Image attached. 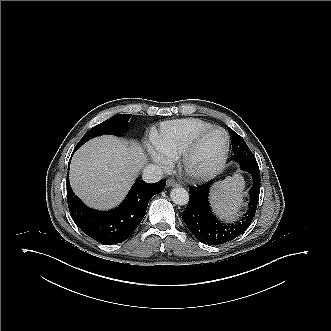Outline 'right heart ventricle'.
Here are the masks:
<instances>
[{
	"mask_svg": "<svg viewBox=\"0 0 331 331\" xmlns=\"http://www.w3.org/2000/svg\"><path fill=\"white\" fill-rule=\"evenodd\" d=\"M210 127V123L195 118L166 121L160 125L155 146L170 158H178L197 134Z\"/></svg>",
	"mask_w": 331,
	"mask_h": 331,
	"instance_id": "e07e8e85",
	"label": "right heart ventricle"
}]
</instances>
